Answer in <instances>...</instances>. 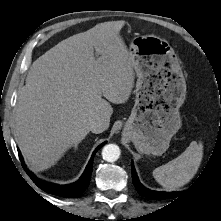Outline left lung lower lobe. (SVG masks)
Here are the masks:
<instances>
[{
	"mask_svg": "<svg viewBox=\"0 0 221 221\" xmlns=\"http://www.w3.org/2000/svg\"><path fill=\"white\" fill-rule=\"evenodd\" d=\"M131 168H132L133 183L137 191L146 198L153 199V200H164V199L174 198L180 195L182 196L186 192V191L185 192H157V191L149 190L139 182L133 163L131 165Z\"/></svg>",
	"mask_w": 221,
	"mask_h": 221,
	"instance_id": "1",
	"label": "left lung lower lobe"
}]
</instances>
